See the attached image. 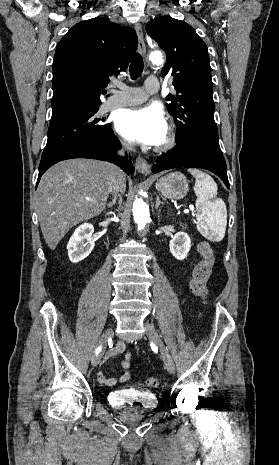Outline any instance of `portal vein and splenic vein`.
I'll use <instances>...</instances> for the list:
<instances>
[{"mask_svg": "<svg viewBox=\"0 0 279 465\" xmlns=\"http://www.w3.org/2000/svg\"><path fill=\"white\" fill-rule=\"evenodd\" d=\"M86 200H87V201H90V200H91V198L87 197V198H86Z\"/></svg>", "mask_w": 279, "mask_h": 465, "instance_id": "1", "label": "portal vein and splenic vein"}]
</instances>
